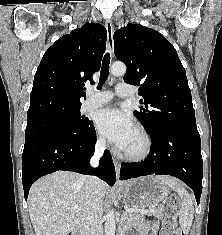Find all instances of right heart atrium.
<instances>
[{"instance_id":"d8ad5b80","label":"right heart atrium","mask_w":222,"mask_h":235,"mask_svg":"<svg viewBox=\"0 0 222 235\" xmlns=\"http://www.w3.org/2000/svg\"><path fill=\"white\" fill-rule=\"evenodd\" d=\"M96 144L98 148L104 147V139L101 136L97 137Z\"/></svg>"}]
</instances>
